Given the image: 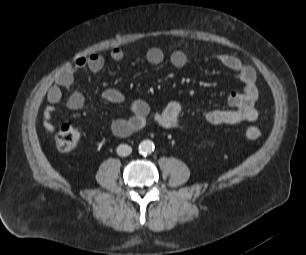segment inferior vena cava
Instances as JSON below:
<instances>
[{
    "label": "inferior vena cava",
    "mask_w": 306,
    "mask_h": 255,
    "mask_svg": "<svg viewBox=\"0 0 306 255\" xmlns=\"http://www.w3.org/2000/svg\"><path fill=\"white\" fill-rule=\"evenodd\" d=\"M132 152V148L127 145V144H121L117 147V154L119 156H128L129 154H131Z\"/></svg>",
    "instance_id": "obj_1"
}]
</instances>
